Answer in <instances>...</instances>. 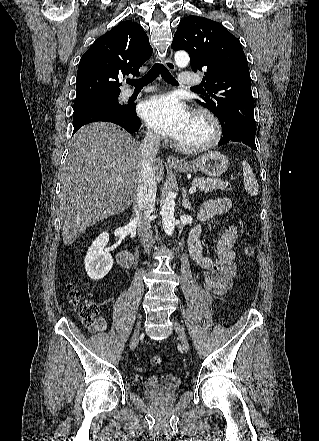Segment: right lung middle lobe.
<instances>
[{
    "label": "right lung middle lobe",
    "mask_w": 319,
    "mask_h": 441,
    "mask_svg": "<svg viewBox=\"0 0 319 441\" xmlns=\"http://www.w3.org/2000/svg\"><path fill=\"white\" fill-rule=\"evenodd\" d=\"M95 109H112L120 112H126L128 105H120L118 96L106 98L87 99L74 102V115Z\"/></svg>",
    "instance_id": "dd1d6c3e"
}]
</instances>
